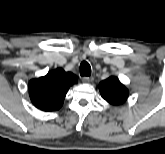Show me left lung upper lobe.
I'll return each mask as SVG.
<instances>
[{"label":"left lung upper lobe","instance_id":"obj_1","mask_svg":"<svg viewBox=\"0 0 165 154\" xmlns=\"http://www.w3.org/2000/svg\"><path fill=\"white\" fill-rule=\"evenodd\" d=\"M99 90L101 96L112 105L124 103L129 94L127 88L114 76L103 80L99 85Z\"/></svg>","mask_w":165,"mask_h":154}]
</instances>
